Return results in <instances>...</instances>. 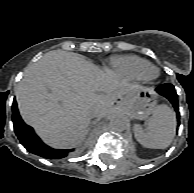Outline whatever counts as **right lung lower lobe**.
<instances>
[{
	"label": "right lung lower lobe",
	"instance_id": "right-lung-lower-lobe-1",
	"mask_svg": "<svg viewBox=\"0 0 194 193\" xmlns=\"http://www.w3.org/2000/svg\"><path fill=\"white\" fill-rule=\"evenodd\" d=\"M13 110V124L15 133L20 140L21 144L31 153L39 155L48 159H60L66 157L73 149L60 150L53 149L45 145L39 137L34 133V130L26 125L22 120L16 101L12 105Z\"/></svg>",
	"mask_w": 194,
	"mask_h": 193
}]
</instances>
